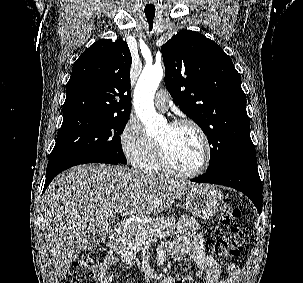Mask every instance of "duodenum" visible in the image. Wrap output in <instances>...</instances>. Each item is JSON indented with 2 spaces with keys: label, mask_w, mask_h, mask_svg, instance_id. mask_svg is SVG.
Here are the masks:
<instances>
[{
  "label": "duodenum",
  "mask_w": 303,
  "mask_h": 283,
  "mask_svg": "<svg viewBox=\"0 0 303 283\" xmlns=\"http://www.w3.org/2000/svg\"><path fill=\"white\" fill-rule=\"evenodd\" d=\"M125 230V223H119L110 234V244L115 243L123 234Z\"/></svg>",
  "instance_id": "1"
}]
</instances>
